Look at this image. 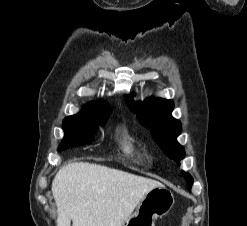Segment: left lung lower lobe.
Listing matches in <instances>:
<instances>
[{
	"label": "left lung lower lobe",
	"instance_id": "0a47b994",
	"mask_svg": "<svg viewBox=\"0 0 247 226\" xmlns=\"http://www.w3.org/2000/svg\"><path fill=\"white\" fill-rule=\"evenodd\" d=\"M188 189H189V190H191V186H190V187H188Z\"/></svg>",
	"mask_w": 247,
	"mask_h": 226
}]
</instances>
